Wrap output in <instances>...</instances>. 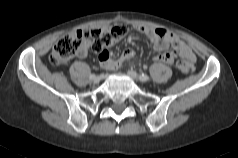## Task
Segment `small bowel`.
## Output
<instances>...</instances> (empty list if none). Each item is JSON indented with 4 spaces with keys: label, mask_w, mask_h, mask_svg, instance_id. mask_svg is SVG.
I'll use <instances>...</instances> for the list:
<instances>
[{
    "label": "small bowel",
    "mask_w": 238,
    "mask_h": 158,
    "mask_svg": "<svg viewBox=\"0 0 238 158\" xmlns=\"http://www.w3.org/2000/svg\"><path fill=\"white\" fill-rule=\"evenodd\" d=\"M137 30L145 35H147L156 51L162 52L167 50L169 47L172 48V52H163L154 56V59L158 62H163L167 64H174L176 57L179 59H184L190 64L195 63V55L189 45L182 41L174 33L162 29V28H150L145 26H139ZM135 52L131 48H126L118 58H113L110 51L105 49L99 54V61L103 68L107 70H117L126 61L133 58Z\"/></svg>",
    "instance_id": "1"
}]
</instances>
